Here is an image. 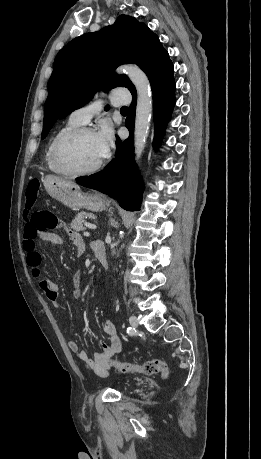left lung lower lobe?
Instances as JSON below:
<instances>
[{"instance_id": "obj_1", "label": "left lung lower lobe", "mask_w": 261, "mask_h": 459, "mask_svg": "<svg viewBox=\"0 0 261 459\" xmlns=\"http://www.w3.org/2000/svg\"><path fill=\"white\" fill-rule=\"evenodd\" d=\"M173 72L171 62L150 82L153 91L155 147L160 144L166 123L175 104ZM132 97L129 114L125 121L130 136L123 142H117L118 149L115 158L109 165L90 177L78 178L76 183L107 194L116 199L124 209L135 211L140 208L143 187L133 160L136 92L132 93Z\"/></svg>"}]
</instances>
